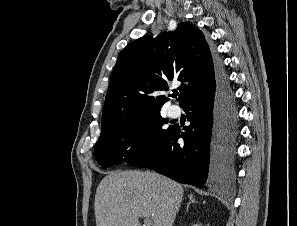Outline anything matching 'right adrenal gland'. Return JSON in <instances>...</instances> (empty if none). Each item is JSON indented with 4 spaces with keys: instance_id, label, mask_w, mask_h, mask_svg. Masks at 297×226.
Listing matches in <instances>:
<instances>
[{
    "instance_id": "right-adrenal-gland-1",
    "label": "right adrenal gland",
    "mask_w": 297,
    "mask_h": 226,
    "mask_svg": "<svg viewBox=\"0 0 297 226\" xmlns=\"http://www.w3.org/2000/svg\"><path fill=\"white\" fill-rule=\"evenodd\" d=\"M188 197H189V202H188V204H187V208H186V210H188V208H189V206H190V204L191 203H197V201L193 198V196L192 195H188Z\"/></svg>"
}]
</instances>
